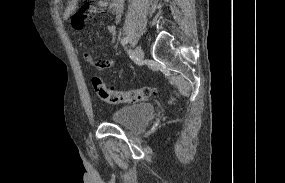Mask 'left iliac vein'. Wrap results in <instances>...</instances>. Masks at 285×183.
Instances as JSON below:
<instances>
[{"instance_id": "1", "label": "left iliac vein", "mask_w": 285, "mask_h": 183, "mask_svg": "<svg viewBox=\"0 0 285 183\" xmlns=\"http://www.w3.org/2000/svg\"><path fill=\"white\" fill-rule=\"evenodd\" d=\"M135 57L138 59V61H142L144 58V52L140 45H138L134 50Z\"/></svg>"}]
</instances>
